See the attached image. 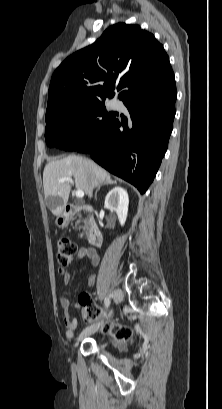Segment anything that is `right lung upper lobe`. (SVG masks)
<instances>
[{
    "label": "right lung upper lobe",
    "instance_id": "obj_1",
    "mask_svg": "<svg viewBox=\"0 0 222 409\" xmlns=\"http://www.w3.org/2000/svg\"><path fill=\"white\" fill-rule=\"evenodd\" d=\"M169 57L154 35L139 25L110 26L93 44L67 57L55 70L47 111L101 102L114 96L125 100L161 90V75L172 73Z\"/></svg>",
    "mask_w": 222,
    "mask_h": 409
}]
</instances>
